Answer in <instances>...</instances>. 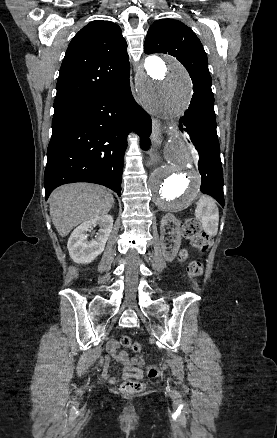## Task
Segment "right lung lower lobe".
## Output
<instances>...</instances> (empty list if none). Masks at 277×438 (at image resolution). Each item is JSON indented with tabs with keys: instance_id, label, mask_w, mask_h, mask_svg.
Here are the masks:
<instances>
[{
	"instance_id": "1",
	"label": "right lung lower lobe",
	"mask_w": 277,
	"mask_h": 438,
	"mask_svg": "<svg viewBox=\"0 0 277 438\" xmlns=\"http://www.w3.org/2000/svg\"><path fill=\"white\" fill-rule=\"evenodd\" d=\"M113 63L99 70L113 68ZM72 70L95 66L70 64ZM134 130L148 149L151 118L134 100L129 76L56 112L44 173L45 199L58 186L72 182L104 185L120 196L127 135Z\"/></svg>"
}]
</instances>
